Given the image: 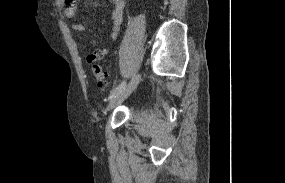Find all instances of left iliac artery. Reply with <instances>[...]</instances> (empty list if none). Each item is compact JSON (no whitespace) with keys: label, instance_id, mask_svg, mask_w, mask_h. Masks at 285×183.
<instances>
[{"label":"left iliac artery","instance_id":"44dca946","mask_svg":"<svg viewBox=\"0 0 285 183\" xmlns=\"http://www.w3.org/2000/svg\"><path fill=\"white\" fill-rule=\"evenodd\" d=\"M126 85L125 81L121 82L117 87L113 89L110 97H113L117 92H119Z\"/></svg>","mask_w":285,"mask_h":183}]
</instances>
